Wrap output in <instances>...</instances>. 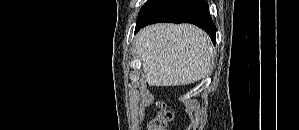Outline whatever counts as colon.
Listing matches in <instances>:
<instances>
[{"instance_id": "obj_1", "label": "colon", "mask_w": 299, "mask_h": 130, "mask_svg": "<svg viewBox=\"0 0 299 130\" xmlns=\"http://www.w3.org/2000/svg\"><path fill=\"white\" fill-rule=\"evenodd\" d=\"M173 119V113L165 104H160L157 116L150 123V130H166L169 122Z\"/></svg>"}]
</instances>
